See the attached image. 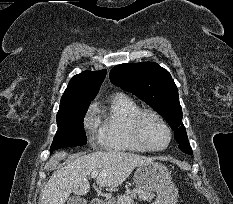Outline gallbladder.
I'll use <instances>...</instances> for the list:
<instances>
[{
    "label": "gallbladder",
    "instance_id": "bac80fb5",
    "mask_svg": "<svg viewBox=\"0 0 233 204\" xmlns=\"http://www.w3.org/2000/svg\"><path fill=\"white\" fill-rule=\"evenodd\" d=\"M67 204H87V202L84 198L72 196L68 199Z\"/></svg>",
    "mask_w": 233,
    "mask_h": 204
}]
</instances>
